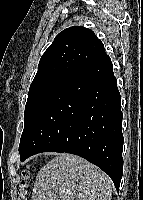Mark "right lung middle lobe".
I'll list each match as a JSON object with an SVG mask.
<instances>
[{
  "label": "right lung middle lobe",
  "mask_w": 143,
  "mask_h": 200,
  "mask_svg": "<svg viewBox=\"0 0 143 200\" xmlns=\"http://www.w3.org/2000/svg\"><path fill=\"white\" fill-rule=\"evenodd\" d=\"M65 75H52L33 81L30 85L28 99L24 113V130L20 144L26 137L28 128L37 113L38 109L49 97V95L67 78Z\"/></svg>",
  "instance_id": "dd1d6c3e"
}]
</instances>
